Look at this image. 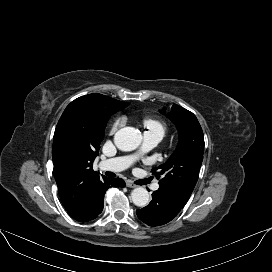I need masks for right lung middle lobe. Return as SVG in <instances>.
<instances>
[{"label": "right lung middle lobe", "mask_w": 272, "mask_h": 272, "mask_svg": "<svg viewBox=\"0 0 272 272\" xmlns=\"http://www.w3.org/2000/svg\"><path fill=\"white\" fill-rule=\"evenodd\" d=\"M122 110V108L116 109H109L104 111L98 119V130L100 132V139L103 140L104 137V129L106 127L107 121L109 120L110 116L118 111Z\"/></svg>", "instance_id": "obj_1"}]
</instances>
